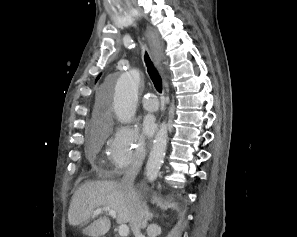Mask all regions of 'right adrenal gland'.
I'll return each instance as SVG.
<instances>
[{"label": "right adrenal gland", "instance_id": "right-adrenal-gland-1", "mask_svg": "<svg viewBox=\"0 0 297 237\" xmlns=\"http://www.w3.org/2000/svg\"><path fill=\"white\" fill-rule=\"evenodd\" d=\"M153 218V213L149 212L148 207L146 205V215L142 221L141 229H145L147 227V222L151 221Z\"/></svg>", "mask_w": 297, "mask_h": 237}]
</instances>
